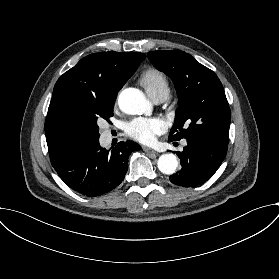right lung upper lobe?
<instances>
[{
	"mask_svg": "<svg viewBox=\"0 0 279 279\" xmlns=\"http://www.w3.org/2000/svg\"><path fill=\"white\" fill-rule=\"evenodd\" d=\"M145 57L136 52L90 54L58 79L44 126L53 166L82 149L62 129L60 113L64 104L77 94H117Z\"/></svg>",
	"mask_w": 279,
	"mask_h": 279,
	"instance_id": "1",
	"label": "right lung upper lobe"
}]
</instances>
